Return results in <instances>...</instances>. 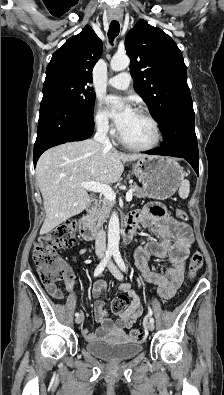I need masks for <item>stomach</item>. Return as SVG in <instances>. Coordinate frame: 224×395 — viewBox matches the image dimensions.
Here are the masks:
<instances>
[{"mask_svg": "<svg viewBox=\"0 0 224 395\" xmlns=\"http://www.w3.org/2000/svg\"><path fill=\"white\" fill-rule=\"evenodd\" d=\"M134 175L148 197L165 200L180 187L185 172L172 158L145 156L132 164Z\"/></svg>", "mask_w": 224, "mask_h": 395, "instance_id": "0dacf381", "label": "stomach"}]
</instances>
